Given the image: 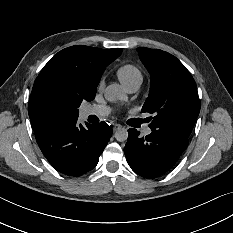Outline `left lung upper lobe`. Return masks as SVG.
I'll list each match as a JSON object with an SVG mask.
<instances>
[{"label":"left lung upper lobe","instance_id":"1","mask_svg":"<svg viewBox=\"0 0 233 233\" xmlns=\"http://www.w3.org/2000/svg\"><path fill=\"white\" fill-rule=\"evenodd\" d=\"M151 75L149 97L142 112L154 114L152 132L188 138L200 112L196 83L187 68L173 55L137 48Z\"/></svg>","mask_w":233,"mask_h":233}]
</instances>
